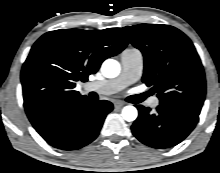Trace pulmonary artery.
<instances>
[{
    "mask_svg": "<svg viewBox=\"0 0 220 173\" xmlns=\"http://www.w3.org/2000/svg\"><path fill=\"white\" fill-rule=\"evenodd\" d=\"M122 70L117 78L91 83V90L103 94H115L139 79L143 68V56L140 51L126 50L121 55ZM152 105L158 103L157 98L150 100Z\"/></svg>",
    "mask_w": 220,
    "mask_h": 173,
    "instance_id": "e3ab8cb5",
    "label": "pulmonary artery"
}]
</instances>
